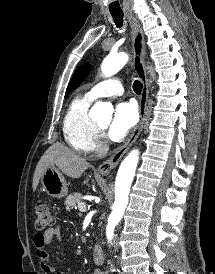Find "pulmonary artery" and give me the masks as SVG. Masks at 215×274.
I'll list each match as a JSON object with an SVG mask.
<instances>
[{"label": "pulmonary artery", "mask_w": 215, "mask_h": 274, "mask_svg": "<svg viewBox=\"0 0 215 274\" xmlns=\"http://www.w3.org/2000/svg\"><path fill=\"white\" fill-rule=\"evenodd\" d=\"M123 91L121 81L117 78H110L94 85L86 93V96L91 100H95L101 97L119 96L123 94Z\"/></svg>", "instance_id": "1"}]
</instances>
